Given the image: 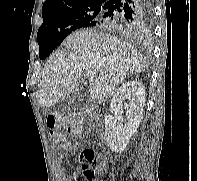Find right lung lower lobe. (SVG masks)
I'll use <instances>...</instances> for the list:
<instances>
[{
    "mask_svg": "<svg viewBox=\"0 0 197 181\" xmlns=\"http://www.w3.org/2000/svg\"><path fill=\"white\" fill-rule=\"evenodd\" d=\"M103 7V14L88 27L101 26L139 35L153 18L152 0H108Z\"/></svg>",
    "mask_w": 197,
    "mask_h": 181,
    "instance_id": "98d812e1",
    "label": "right lung lower lobe"
}]
</instances>
